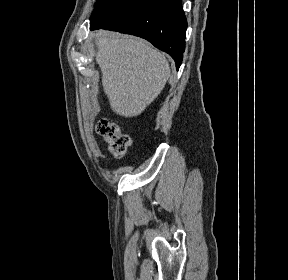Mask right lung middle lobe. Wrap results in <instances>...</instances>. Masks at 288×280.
<instances>
[{
	"mask_svg": "<svg viewBox=\"0 0 288 280\" xmlns=\"http://www.w3.org/2000/svg\"><path fill=\"white\" fill-rule=\"evenodd\" d=\"M119 0H97L90 21L94 20L108 6L118 2Z\"/></svg>",
	"mask_w": 288,
	"mask_h": 280,
	"instance_id": "1",
	"label": "right lung middle lobe"
}]
</instances>
